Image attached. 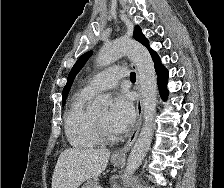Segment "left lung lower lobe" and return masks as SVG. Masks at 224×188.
I'll list each match as a JSON object with an SVG mask.
<instances>
[{"label":"left lung lower lobe","instance_id":"left-lung-lower-lobe-1","mask_svg":"<svg viewBox=\"0 0 224 188\" xmlns=\"http://www.w3.org/2000/svg\"><path fill=\"white\" fill-rule=\"evenodd\" d=\"M155 70L158 75V87L160 90L161 97L166 100L168 96L167 81H168V71L163 68L160 59L154 62Z\"/></svg>","mask_w":224,"mask_h":188}]
</instances>
